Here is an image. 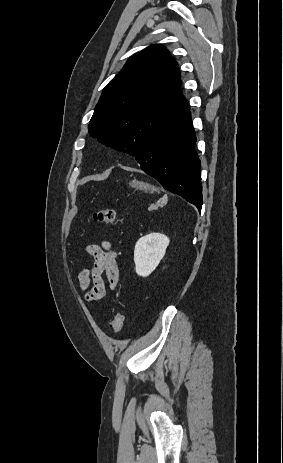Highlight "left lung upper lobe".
Returning <instances> with one entry per match:
<instances>
[{
	"instance_id": "5c2ea615",
	"label": "left lung upper lobe",
	"mask_w": 283,
	"mask_h": 463,
	"mask_svg": "<svg viewBox=\"0 0 283 463\" xmlns=\"http://www.w3.org/2000/svg\"><path fill=\"white\" fill-rule=\"evenodd\" d=\"M176 61L161 45L133 55L106 85L88 125L101 143L135 156L188 105Z\"/></svg>"
}]
</instances>
